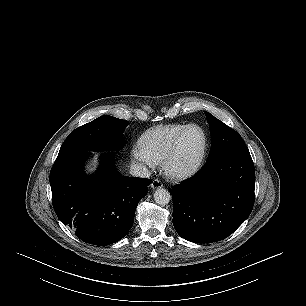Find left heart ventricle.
<instances>
[{"label":"left heart ventricle","mask_w":306,"mask_h":306,"mask_svg":"<svg viewBox=\"0 0 306 306\" xmlns=\"http://www.w3.org/2000/svg\"><path fill=\"white\" fill-rule=\"evenodd\" d=\"M203 141V135L199 130H189L181 144L179 164L185 166L193 163L202 151Z\"/></svg>","instance_id":"obj_1"}]
</instances>
